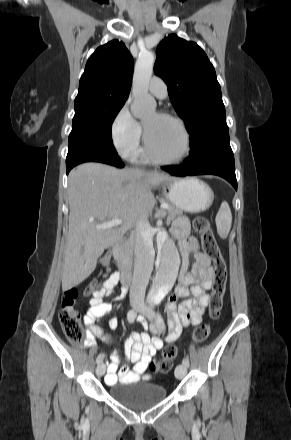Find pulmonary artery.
Returning <instances> with one entry per match:
<instances>
[{"label":"pulmonary artery","instance_id":"obj_1","mask_svg":"<svg viewBox=\"0 0 291 440\" xmlns=\"http://www.w3.org/2000/svg\"><path fill=\"white\" fill-rule=\"evenodd\" d=\"M149 91L156 97L163 99L167 96V85L163 79L153 76L149 82Z\"/></svg>","mask_w":291,"mask_h":440}]
</instances>
